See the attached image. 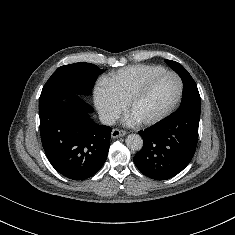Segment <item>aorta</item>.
<instances>
[{
  "instance_id": "1",
  "label": "aorta",
  "mask_w": 235,
  "mask_h": 235,
  "mask_svg": "<svg viewBox=\"0 0 235 235\" xmlns=\"http://www.w3.org/2000/svg\"><path fill=\"white\" fill-rule=\"evenodd\" d=\"M126 145L133 151H139L142 149L143 140L138 134H130L126 138Z\"/></svg>"
}]
</instances>
